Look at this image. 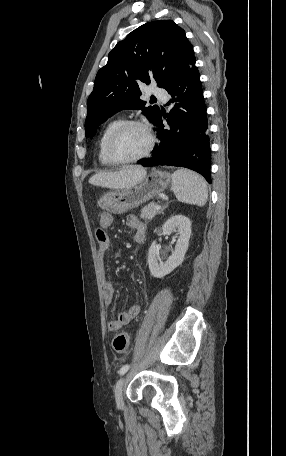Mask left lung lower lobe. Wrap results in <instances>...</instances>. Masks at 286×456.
Returning a JSON list of instances; mask_svg holds the SVG:
<instances>
[{"label": "left lung lower lobe", "mask_w": 286, "mask_h": 456, "mask_svg": "<svg viewBox=\"0 0 286 456\" xmlns=\"http://www.w3.org/2000/svg\"><path fill=\"white\" fill-rule=\"evenodd\" d=\"M192 60L165 87L174 106L167 115L159 114L154 123L159 127L161 140L154 148L153 156L141 162L143 166L171 165L192 169L211 183L210 145L206 106L199 72ZM166 118L168 125L162 123Z\"/></svg>", "instance_id": "1"}]
</instances>
